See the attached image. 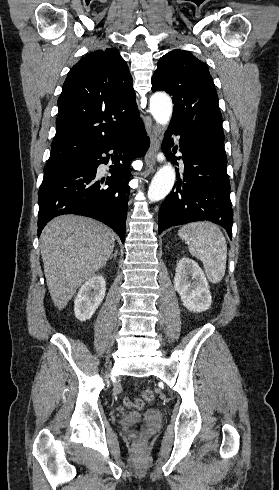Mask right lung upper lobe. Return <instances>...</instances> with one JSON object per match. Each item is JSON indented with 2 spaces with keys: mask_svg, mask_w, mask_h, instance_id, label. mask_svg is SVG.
Returning a JSON list of instances; mask_svg holds the SVG:
<instances>
[{
  "mask_svg": "<svg viewBox=\"0 0 279 490\" xmlns=\"http://www.w3.org/2000/svg\"><path fill=\"white\" fill-rule=\"evenodd\" d=\"M58 107L47 164L78 160L142 123L128 66L112 48L91 52L73 66Z\"/></svg>",
  "mask_w": 279,
  "mask_h": 490,
  "instance_id": "cb5924a9",
  "label": "right lung upper lobe"
}]
</instances>
